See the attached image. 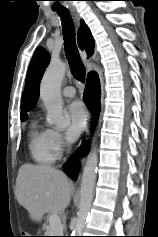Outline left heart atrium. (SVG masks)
<instances>
[{
	"label": "left heart atrium",
	"mask_w": 158,
	"mask_h": 237,
	"mask_svg": "<svg viewBox=\"0 0 158 237\" xmlns=\"http://www.w3.org/2000/svg\"><path fill=\"white\" fill-rule=\"evenodd\" d=\"M65 115L68 120L66 136L69 141H74L80 136L86 125L85 108L81 102L74 101L67 106Z\"/></svg>",
	"instance_id": "left-heart-atrium-1"
}]
</instances>
